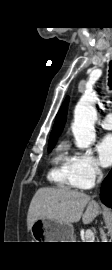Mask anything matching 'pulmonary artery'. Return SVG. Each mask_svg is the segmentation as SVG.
Returning <instances> with one entry per match:
<instances>
[{
    "instance_id": "e3ab8cb5",
    "label": "pulmonary artery",
    "mask_w": 112,
    "mask_h": 270,
    "mask_svg": "<svg viewBox=\"0 0 112 270\" xmlns=\"http://www.w3.org/2000/svg\"><path fill=\"white\" fill-rule=\"evenodd\" d=\"M101 126L106 130H112V114H109L104 118Z\"/></svg>"
}]
</instances>
